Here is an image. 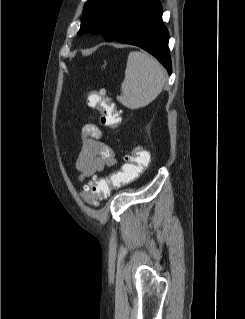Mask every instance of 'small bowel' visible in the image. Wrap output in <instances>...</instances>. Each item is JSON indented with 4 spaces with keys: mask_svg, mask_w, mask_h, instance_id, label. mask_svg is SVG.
I'll return each mask as SVG.
<instances>
[{
    "mask_svg": "<svg viewBox=\"0 0 245 319\" xmlns=\"http://www.w3.org/2000/svg\"><path fill=\"white\" fill-rule=\"evenodd\" d=\"M81 149L76 161L80 178H90L115 164L113 149L102 140V132L95 124L81 128Z\"/></svg>",
    "mask_w": 245,
    "mask_h": 319,
    "instance_id": "1",
    "label": "small bowel"
}]
</instances>
